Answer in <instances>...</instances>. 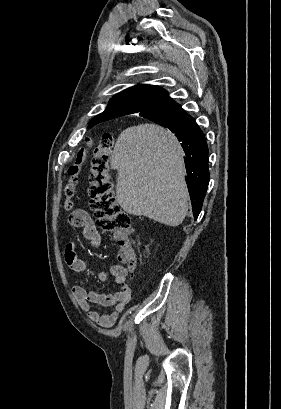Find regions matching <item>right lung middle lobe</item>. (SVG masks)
<instances>
[{
	"instance_id": "1",
	"label": "right lung middle lobe",
	"mask_w": 281,
	"mask_h": 409,
	"mask_svg": "<svg viewBox=\"0 0 281 409\" xmlns=\"http://www.w3.org/2000/svg\"><path fill=\"white\" fill-rule=\"evenodd\" d=\"M151 121H153V122H155V123H157V124H159L161 126L167 127V126L177 122L178 118L167 116V117L153 118V119H151Z\"/></svg>"
}]
</instances>
